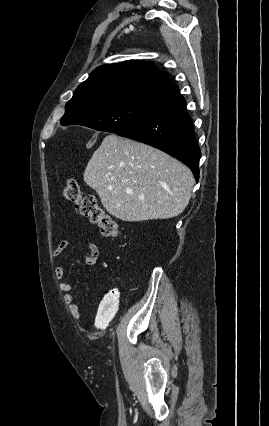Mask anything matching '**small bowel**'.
<instances>
[{
    "label": "small bowel",
    "mask_w": 269,
    "mask_h": 426,
    "mask_svg": "<svg viewBox=\"0 0 269 426\" xmlns=\"http://www.w3.org/2000/svg\"><path fill=\"white\" fill-rule=\"evenodd\" d=\"M70 245L69 240H62L57 248L54 250L53 255L55 257L59 256L68 246ZM99 256V251L97 245L89 241L86 244V251H85V263L88 266H93L96 264L97 259ZM65 276V267L63 264H59L55 268V277L59 281V290L64 293L63 300L64 303L69 307L71 313L74 316H80L81 315V309L76 304L75 296L71 293V285L69 282L64 280Z\"/></svg>",
    "instance_id": "c3829d8e"
}]
</instances>
